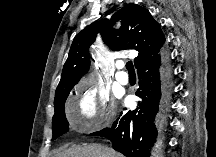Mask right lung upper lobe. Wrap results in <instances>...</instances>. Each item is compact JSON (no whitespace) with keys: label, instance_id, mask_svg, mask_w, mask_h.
I'll list each match as a JSON object with an SVG mask.
<instances>
[{"label":"right lung upper lobe","instance_id":"1","mask_svg":"<svg viewBox=\"0 0 216 157\" xmlns=\"http://www.w3.org/2000/svg\"><path fill=\"white\" fill-rule=\"evenodd\" d=\"M118 20H121V27L113 29L112 24ZM99 30L110 49H134L139 52L134 59L136 69L156 58L165 42L159 23L146 8L133 3L125 5L112 16L110 22L107 19L94 22L75 36L63 66L55 98L64 89L73 88L89 70V46L95 41Z\"/></svg>","mask_w":216,"mask_h":157}]
</instances>
